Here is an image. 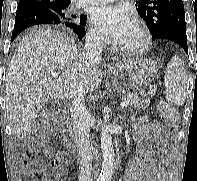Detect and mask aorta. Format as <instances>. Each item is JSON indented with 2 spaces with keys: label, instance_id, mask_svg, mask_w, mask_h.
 Here are the masks:
<instances>
[{
  "label": "aorta",
  "instance_id": "obj_1",
  "mask_svg": "<svg viewBox=\"0 0 197 181\" xmlns=\"http://www.w3.org/2000/svg\"><path fill=\"white\" fill-rule=\"evenodd\" d=\"M100 136L103 162L97 181H111L115 165L112 137L107 129H103Z\"/></svg>",
  "mask_w": 197,
  "mask_h": 181
}]
</instances>
